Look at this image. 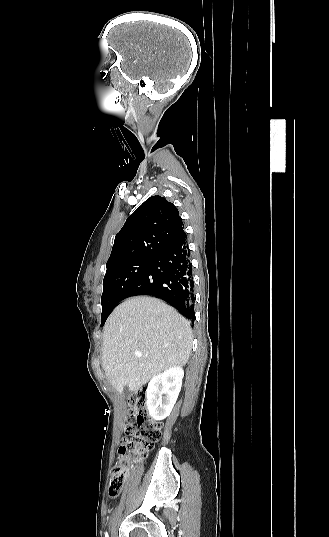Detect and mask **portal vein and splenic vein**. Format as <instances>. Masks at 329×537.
Returning a JSON list of instances; mask_svg holds the SVG:
<instances>
[{
	"label": "portal vein and splenic vein",
	"instance_id": "obj_1",
	"mask_svg": "<svg viewBox=\"0 0 329 537\" xmlns=\"http://www.w3.org/2000/svg\"><path fill=\"white\" fill-rule=\"evenodd\" d=\"M135 354H136L137 357H141V356H142L141 353H138V352H136Z\"/></svg>",
	"mask_w": 329,
	"mask_h": 537
}]
</instances>
